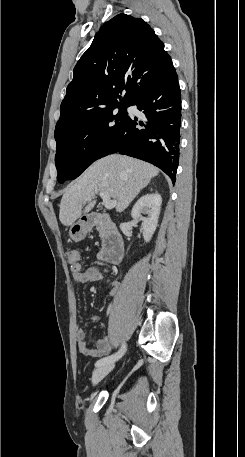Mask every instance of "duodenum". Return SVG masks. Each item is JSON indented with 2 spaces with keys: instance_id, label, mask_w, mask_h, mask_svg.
I'll return each mask as SVG.
<instances>
[{
  "instance_id": "obj_1",
  "label": "duodenum",
  "mask_w": 245,
  "mask_h": 457,
  "mask_svg": "<svg viewBox=\"0 0 245 457\" xmlns=\"http://www.w3.org/2000/svg\"><path fill=\"white\" fill-rule=\"evenodd\" d=\"M87 226H100L103 229L105 240L99 257L110 264H118L124 257V242L122 236L107 214H90L84 219Z\"/></svg>"
}]
</instances>
